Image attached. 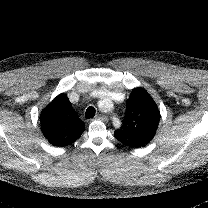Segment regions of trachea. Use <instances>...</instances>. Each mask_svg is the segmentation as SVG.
Here are the masks:
<instances>
[{
	"label": "trachea",
	"instance_id": "1",
	"mask_svg": "<svg viewBox=\"0 0 208 208\" xmlns=\"http://www.w3.org/2000/svg\"><path fill=\"white\" fill-rule=\"evenodd\" d=\"M96 110L94 107L90 106L86 109L85 116L87 119L93 118L95 116Z\"/></svg>",
	"mask_w": 208,
	"mask_h": 208
}]
</instances>
